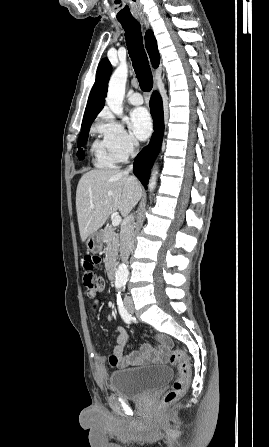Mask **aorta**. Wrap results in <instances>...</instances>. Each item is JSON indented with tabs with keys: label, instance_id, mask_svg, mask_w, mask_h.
I'll list each match as a JSON object with an SVG mask.
<instances>
[{
	"label": "aorta",
	"instance_id": "obj_1",
	"mask_svg": "<svg viewBox=\"0 0 269 447\" xmlns=\"http://www.w3.org/2000/svg\"><path fill=\"white\" fill-rule=\"evenodd\" d=\"M128 76V66L125 62H121L119 68L113 72L109 86L108 94L106 100L107 106H109L111 112L119 116V118H124L123 116V98L125 96V86ZM156 186V172L152 174V178L148 184L149 190H154ZM129 271L125 263H120L115 275L116 285H123L128 279Z\"/></svg>",
	"mask_w": 269,
	"mask_h": 447
}]
</instances>
